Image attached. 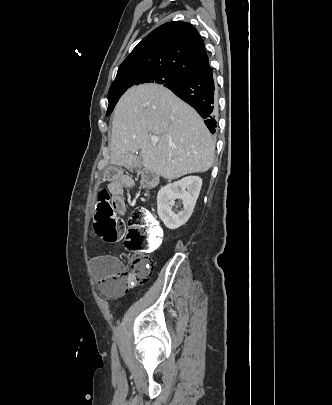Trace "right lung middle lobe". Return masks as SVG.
Wrapping results in <instances>:
<instances>
[{"mask_svg": "<svg viewBox=\"0 0 332 405\" xmlns=\"http://www.w3.org/2000/svg\"><path fill=\"white\" fill-rule=\"evenodd\" d=\"M183 78L184 76L178 74L156 71H135L122 74L116 77L109 89V106L106 115H109L113 111L121 95L133 85L143 83H158L167 87L171 84L179 82Z\"/></svg>", "mask_w": 332, "mask_h": 405, "instance_id": "dd1d6c3e", "label": "right lung middle lobe"}]
</instances>
